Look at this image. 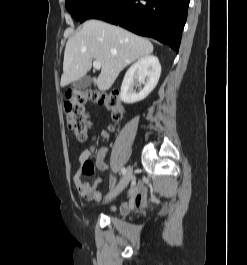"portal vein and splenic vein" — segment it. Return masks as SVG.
<instances>
[{"label":"portal vein and splenic vein","instance_id":"portal-vein-and-splenic-vein-1","mask_svg":"<svg viewBox=\"0 0 247 265\" xmlns=\"http://www.w3.org/2000/svg\"><path fill=\"white\" fill-rule=\"evenodd\" d=\"M93 67L99 70L101 68V63L99 61H93Z\"/></svg>","mask_w":247,"mask_h":265}]
</instances>
